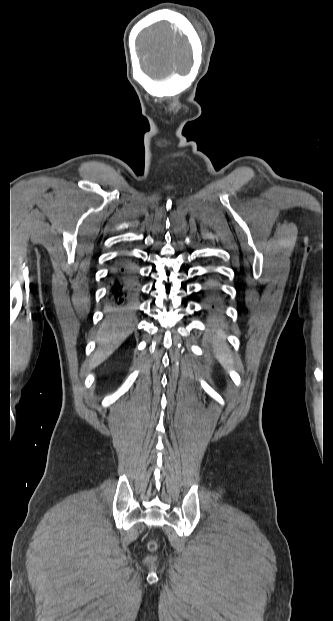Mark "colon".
I'll return each instance as SVG.
<instances>
[{"label": "colon", "instance_id": "5ec220e1", "mask_svg": "<svg viewBox=\"0 0 333 621\" xmlns=\"http://www.w3.org/2000/svg\"><path fill=\"white\" fill-rule=\"evenodd\" d=\"M156 547H157V545H156V543H155V542H150V544H149V548H150L151 550H155V549H156Z\"/></svg>", "mask_w": 333, "mask_h": 621}]
</instances>
